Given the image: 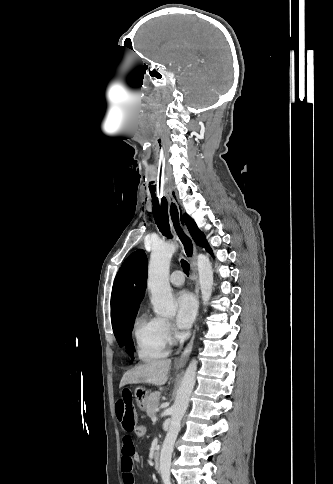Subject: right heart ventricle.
<instances>
[{
  "label": "right heart ventricle",
  "instance_id": "1",
  "mask_svg": "<svg viewBox=\"0 0 333 484\" xmlns=\"http://www.w3.org/2000/svg\"><path fill=\"white\" fill-rule=\"evenodd\" d=\"M134 338L138 357L143 361L161 359L168 354L164 319L142 311L134 323Z\"/></svg>",
  "mask_w": 333,
  "mask_h": 484
}]
</instances>
